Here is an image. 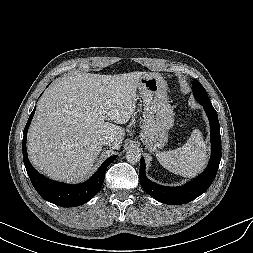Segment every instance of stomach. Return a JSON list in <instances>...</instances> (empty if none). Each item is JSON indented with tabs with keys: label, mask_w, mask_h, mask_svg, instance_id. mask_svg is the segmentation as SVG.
<instances>
[{
	"label": "stomach",
	"mask_w": 253,
	"mask_h": 253,
	"mask_svg": "<svg viewBox=\"0 0 253 253\" xmlns=\"http://www.w3.org/2000/svg\"><path fill=\"white\" fill-rule=\"evenodd\" d=\"M144 103L141 140L150 151L162 148L168 141V131L174 125L173 108L167 97V83L160 74H149L138 84Z\"/></svg>",
	"instance_id": "0dacf381"
}]
</instances>
